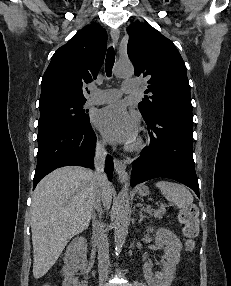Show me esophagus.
I'll return each mask as SVG.
<instances>
[{"label": "esophagus", "mask_w": 231, "mask_h": 286, "mask_svg": "<svg viewBox=\"0 0 231 286\" xmlns=\"http://www.w3.org/2000/svg\"><path fill=\"white\" fill-rule=\"evenodd\" d=\"M110 34H111V38H112L114 45L117 47L119 36H120L119 30L116 28H113L111 29ZM114 168H115L116 174L118 175V180L120 182L126 181L128 178V174L126 172V162L124 160L114 158Z\"/></svg>", "instance_id": "obj_1"}]
</instances>
